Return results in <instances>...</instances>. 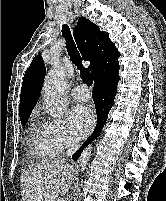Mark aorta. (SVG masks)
Returning <instances> with one entry per match:
<instances>
[{
	"label": "aorta",
	"instance_id": "1",
	"mask_svg": "<svg viewBox=\"0 0 166 201\" xmlns=\"http://www.w3.org/2000/svg\"><path fill=\"white\" fill-rule=\"evenodd\" d=\"M66 71L63 67L56 65L47 74L44 81V102L48 113L57 118H62L67 109L66 97ZM91 147L85 149L79 158L81 171L86 169L91 156Z\"/></svg>",
	"mask_w": 166,
	"mask_h": 201
}]
</instances>
